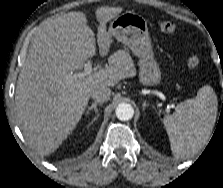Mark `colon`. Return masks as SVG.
I'll use <instances>...</instances> for the list:
<instances>
[{
    "mask_svg": "<svg viewBox=\"0 0 223 188\" xmlns=\"http://www.w3.org/2000/svg\"><path fill=\"white\" fill-rule=\"evenodd\" d=\"M158 27L162 32L168 34L173 33L176 30V24L171 20H160L158 22ZM199 63H200V58L198 54L192 53L189 55L187 59L188 67L195 68L199 65Z\"/></svg>",
    "mask_w": 223,
    "mask_h": 188,
    "instance_id": "colon-1",
    "label": "colon"
}]
</instances>
